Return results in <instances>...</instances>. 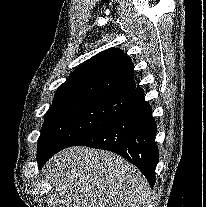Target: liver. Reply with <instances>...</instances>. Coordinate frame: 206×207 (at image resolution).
Instances as JSON below:
<instances>
[{
	"label": "liver",
	"instance_id": "liver-1",
	"mask_svg": "<svg viewBox=\"0 0 206 207\" xmlns=\"http://www.w3.org/2000/svg\"><path fill=\"white\" fill-rule=\"evenodd\" d=\"M59 195V207H146L149 184L121 156L73 146L58 152L42 169Z\"/></svg>",
	"mask_w": 206,
	"mask_h": 207
}]
</instances>
